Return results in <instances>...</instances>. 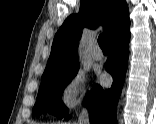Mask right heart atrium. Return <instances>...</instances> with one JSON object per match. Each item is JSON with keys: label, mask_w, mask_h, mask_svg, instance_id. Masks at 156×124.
I'll list each match as a JSON object with an SVG mask.
<instances>
[{"label": "right heart atrium", "mask_w": 156, "mask_h": 124, "mask_svg": "<svg viewBox=\"0 0 156 124\" xmlns=\"http://www.w3.org/2000/svg\"><path fill=\"white\" fill-rule=\"evenodd\" d=\"M90 95L88 76L84 70L77 69L63 84L60 100L64 109L72 111L86 105Z\"/></svg>", "instance_id": "d8ad5b80"}]
</instances>
